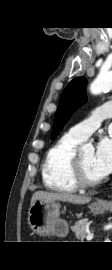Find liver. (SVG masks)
<instances>
[{"instance_id":"liver-1","label":"liver","mask_w":112,"mask_h":270,"mask_svg":"<svg viewBox=\"0 0 112 270\" xmlns=\"http://www.w3.org/2000/svg\"><path fill=\"white\" fill-rule=\"evenodd\" d=\"M36 200H53V201L69 202L73 204H86L91 201V197L73 195L70 193L36 191L31 198V204L34 203Z\"/></svg>"}]
</instances>
